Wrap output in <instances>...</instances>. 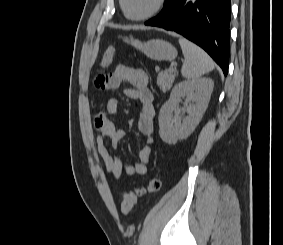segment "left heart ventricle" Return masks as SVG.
I'll use <instances>...</instances> for the list:
<instances>
[{
    "instance_id": "left-heart-ventricle-1",
    "label": "left heart ventricle",
    "mask_w": 283,
    "mask_h": 245,
    "mask_svg": "<svg viewBox=\"0 0 283 245\" xmlns=\"http://www.w3.org/2000/svg\"><path fill=\"white\" fill-rule=\"evenodd\" d=\"M157 0H125V8L131 16H142L151 11Z\"/></svg>"
}]
</instances>
